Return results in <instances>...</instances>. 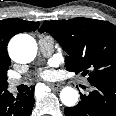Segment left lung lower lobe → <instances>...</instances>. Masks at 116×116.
I'll list each match as a JSON object with an SVG mask.
<instances>
[{"label": "left lung lower lobe", "instance_id": "1", "mask_svg": "<svg viewBox=\"0 0 116 116\" xmlns=\"http://www.w3.org/2000/svg\"><path fill=\"white\" fill-rule=\"evenodd\" d=\"M95 89L82 96L74 107L64 109L66 116H116V81L91 84Z\"/></svg>", "mask_w": 116, "mask_h": 116}]
</instances>
